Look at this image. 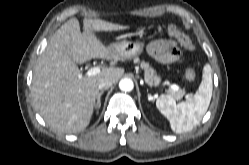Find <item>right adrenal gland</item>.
<instances>
[{
	"mask_svg": "<svg viewBox=\"0 0 249 165\" xmlns=\"http://www.w3.org/2000/svg\"><path fill=\"white\" fill-rule=\"evenodd\" d=\"M104 93V90H102L99 95H98V98H97V101L95 103V108L96 109H99L101 107V96L102 94Z\"/></svg>",
	"mask_w": 249,
	"mask_h": 165,
	"instance_id": "2a0ac1e0",
	"label": "right adrenal gland"
}]
</instances>
